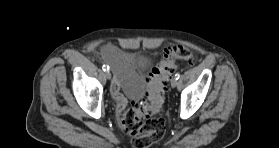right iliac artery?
I'll return each mask as SVG.
<instances>
[{"label": "right iliac artery", "instance_id": "1", "mask_svg": "<svg viewBox=\"0 0 279 148\" xmlns=\"http://www.w3.org/2000/svg\"><path fill=\"white\" fill-rule=\"evenodd\" d=\"M102 69H103V71H109L110 70V67L108 66V65H106V64H104L103 66H102Z\"/></svg>", "mask_w": 279, "mask_h": 148}]
</instances>
